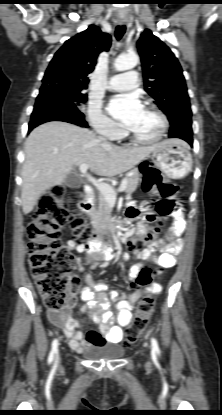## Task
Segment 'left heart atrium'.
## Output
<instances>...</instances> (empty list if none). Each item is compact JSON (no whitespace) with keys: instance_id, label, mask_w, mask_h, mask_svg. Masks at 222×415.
Returning a JSON list of instances; mask_svg holds the SVG:
<instances>
[{"instance_id":"39dd6f15","label":"left heart atrium","mask_w":222,"mask_h":415,"mask_svg":"<svg viewBox=\"0 0 222 415\" xmlns=\"http://www.w3.org/2000/svg\"><path fill=\"white\" fill-rule=\"evenodd\" d=\"M142 108L140 100L134 94L115 96L107 106L110 115L126 127H129L134 122Z\"/></svg>"}]
</instances>
